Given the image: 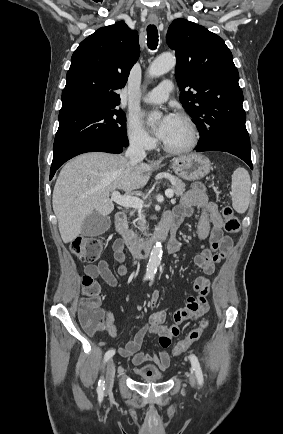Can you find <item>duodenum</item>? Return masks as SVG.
Wrapping results in <instances>:
<instances>
[{
  "mask_svg": "<svg viewBox=\"0 0 283 434\" xmlns=\"http://www.w3.org/2000/svg\"><path fill=\"white\" fill-rule=\"evenodd\" d=\"M115 229L117 233L121 236L123 243L137 258L148 256L153 247L158 242H164L166 240L169 231H171L170 242H172L175 239L176 232V229L171 222L163 220V222L159 226L157 233L152 238L145 242H140L132 233L128 231L127 214L124 211L116 212Z\"/></svg>",
  "mask_w": 283,
  "mask_h": 434,
  "instance_id": "1",
  "label": "duodenum"
}]
</instances>
